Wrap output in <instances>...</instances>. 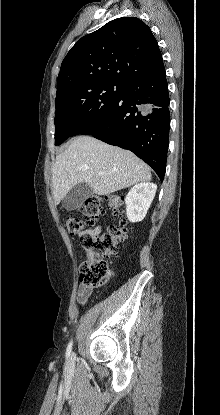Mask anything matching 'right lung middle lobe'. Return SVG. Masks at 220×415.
I'll return each instance as SVG.
<instances>
[{"label": "right lung middle lobe", "mask_w": 220, "mask_h": 415, "mask_svg": "<svg viewBox=\"0 0 220 415\" xmlns=\"http://www.w3.org/2000/svg\"><path fill=\"white\" fill-rule=\"evenodd\" d=\"M125 83H81L56 95L55 145L67 138L96 131L105 123Z\"/></svg>", "instance_id": "right-lung-middle-lobe-1"}]
</instances>
